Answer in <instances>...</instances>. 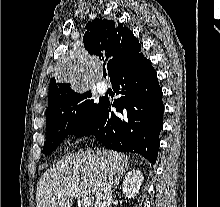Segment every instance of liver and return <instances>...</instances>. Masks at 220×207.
I'll return each mask as SVG.
<instances>
[{
	"instance_id": "obj_1",
	"label": "liver",
	"mask_w": 220,
	"mask_h": 207,
	"mask_svg": "<svg viewBox=\"0 0 220 207\" xmlns=\"http://www.w3.org/2000/svg\"><path fill=\"white\" fill-rule=\"evenodd\" d=\"M128 156L111 150H81L48 168L37 184L36 207H71L75 196H93L101 174L123 172Z\"/></svg>"
}]
</instances>
